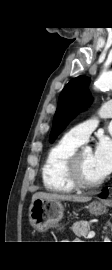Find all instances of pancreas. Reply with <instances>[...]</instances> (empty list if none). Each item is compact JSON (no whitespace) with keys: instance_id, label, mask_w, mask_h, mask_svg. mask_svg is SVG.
Instances as JSON below:
<instances>
[{"instance_id":"1","label":"pancreas","mask_w":112,"mask_h":270,"mask_svg":"<svg viewBox=\"0 0 112 270\" xmlns=\"http://www.w3.org/2000/svg\"><path fill=\"white\" fill-rule=\"evenodd\" d=\"M90 225L89 221L82 220L74 223L71 229L76 236L86 238L90 232Z\"/></svg>"}]
</instances>
